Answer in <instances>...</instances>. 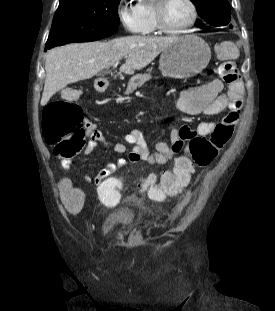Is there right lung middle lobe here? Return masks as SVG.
<instances>
[{
  "mask_svg": "<svg viewBox=\"0 0 275 311\" xmlns=\"http://www.w3.org/2000/svg\"><path fill=\"white\" fill-rule=\"evenodd\" d=\"M120 0H59L45 50L74 42L99 40L119 27Z\"/></svg>",
  "mask_w": 275,
  "mask_h": 311,
  "instance_id": "1",
  "label": "right lung middle lobe"
}]
</instances>
